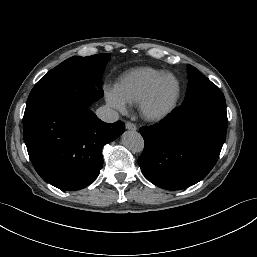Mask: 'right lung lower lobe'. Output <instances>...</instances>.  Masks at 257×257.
<instances>
[{
  "mask_svg": "<svg viewBox=\"0 0 257 257\" xmlns=\"http://www.w3.org/2000/svg\"><path fill=\"white\" fill-rule=\"evenodd\" d=\"M101 96L92 83L76 79L31 90L23 117L24 141L46 182L79 190L99 175L103 146L125 130L123 122L105 123L89 110Z\"/></svg>",
  "mask_w": 257,
  "mask_h": 257,
  "instance_id": "obj_1",
  "label": "right lung lower lobe"
}]
</instances>
